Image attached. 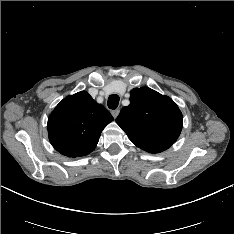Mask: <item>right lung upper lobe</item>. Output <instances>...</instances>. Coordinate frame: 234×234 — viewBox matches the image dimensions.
<instances>
[{
    "label": "right lung upper lobe",
    "instance_id": "obj_1",
    "mask_svg": "<svg viewBox=\"0 0 234 234\" xmlns=\"http://www.w3.org/2000/svg\"><path fill=\"white\" fill-rule=\"evenodd\" d=\"M112 115L86 91L64 98L48 118L52 146L68 157L91 153Z\"/></svg>",
    "mask_w": 234,
    "mask_h": 234
}]
</instances>
